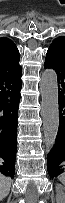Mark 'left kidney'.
<instances>
[{
	"instance_id": "5707ae66",
	"label": "left kidney",
	"mask_w": 65,
	"mask_h": 203,
	"mask_svg": "<svg viewBox=\"0 0 65 203\" xmlns=\"http://www.w3.org/2000/svg\"><path fill=\"white\" fill-rule=\"evenodd\" d=\"M56 202L65 203V188L59 184L56 186Z\"/></svg>"
}]
</instances>
